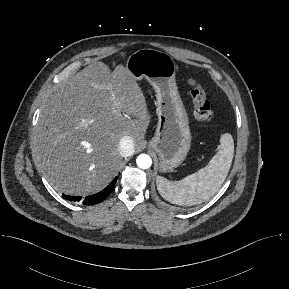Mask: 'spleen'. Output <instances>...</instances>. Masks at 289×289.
Returning a JSON list of instances; mask_svg holds the SVG:
<instances>
[{
	"label": "spleen",
	"instance_id": "obj_1",
	"mask_svg": "<svg viewBox=\"0 0 289 289\" xmlns=\"http://www.w3.org/2000/svg\"><path fill=\"white\" fill-rule=\"evenodd\" d=\"M234 155V142L231 134L220 138L218 152L208 165L180 181H169L157 176L156 184L160 195L167 201L193 206L212 197L225 181Z\"/></svg>",
	"mask_w": 289,
	"mask_h": 289
}]
</instances>
